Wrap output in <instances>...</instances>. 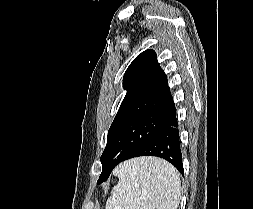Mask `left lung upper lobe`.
<instances>
[{"label": "left lung upper lobe", "instance_id": "left-lung-upper-lobe-1", "mask_svg": "<svg viewBox=\"0 0 253 209\" xmlns=\"http://www.w3.org/2000/svg\"><path fill=\"white\" fill-rule=\"evenodd\" d=\"M123 86L127 93L108 131L102 172L140 151L176 113L167 76L155 51L146 50L132 61Z\"/></svg>", "mask_w": 253, "mask_h": 209}]
</instances>
